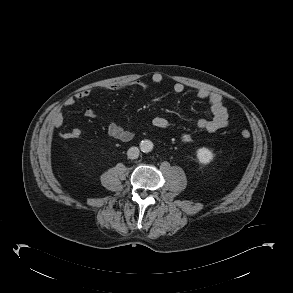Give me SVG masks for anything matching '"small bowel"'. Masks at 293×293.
I'll use <instances>...</instances> for the list:
<instances>
[{
  "instance_id": "obj_1",
  "label": "small bowel",
  "mask_w": 293,
  "mask_h": 293,
  "mask_svg": "<svg viewBox=\"0 0 293 293\" xmlns=\"http://www.w3.org/2000/svg\"><path fill=\"white\" fill-rule=\"evenodd\" d=\"M163 81V76L160 73H154L151 76V82L153 84H160ZM133 84L141 89L143 92H147L150 88V83L144 79H137ZM124 88L122 84H111L105 87L107 91H121ZM185 90L182 83L176 82L173 85V91L177 94L183 93ZM91 94L90 90H82L76 93L73 97L69 98L65 106H73L77 101L83 100L89 97ZM196 97L200 100H204L209 104L210 112L212 114L209 119H200L197 122V128L199 130L214 133L227 126L229 122L228 110L224 104L223 97L215 92H211L207 89H198L196 91ZM84 115L87 118H97L98 114L93 108H86ZM48 123L51 127L59 128L64 123V113L62 109L54 110L48 119ZM152 124L155 128L165 130L168 128L169 123L167 119L163 117H156L153 119ZM107 133L110 137L120 140L122 142H128L133 138V133L130 130L123 128L121 125L116 123L114 120H109L107 125ZM82 131L80 128H73L72 130L61 134V137L67 140L77 139L81 136ZM181 140L184 143H189L193 140L191 134L184 133L181 135Z\"/></svg>"
}]
</instances>
